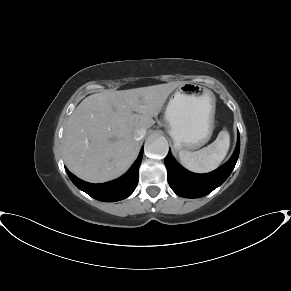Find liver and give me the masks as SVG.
Instances as JSON below:
<instances>
[{
	"label": "liver",
	"instance_id": "6515ba94",
	"mask_svg": "<svg viewBox=\"0 0 291 291\" xmlns=\"http://www.w3.org/2000/svg\"><path fill=\"white\" fill-rule=\"evenodd\" d=\"M180 84L104 91L86 97L65 127L63 155L68 169L91 183L123 175L139 152L134 132L155 124L153 117Z\"/></svg>",
	"mask_w": 291,
	"mask_h": 291
}]
</instances>
